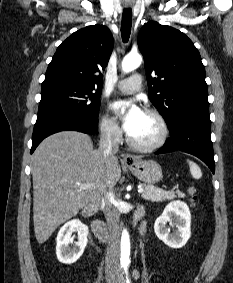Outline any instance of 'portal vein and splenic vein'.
<instances>
[{"mask_svg":"<svg viewBox=\"0 0 233 283\" xmlns=\"http://www.w3.org/2000/svg\"><path fill=\"white\" fill-rule=\"evenodd\" d=\"M78 185L81 189H92L93 188L92 184H78ZM143 192H144V189L139 187L138 193H143Z\"/></svg>","mask_w":233,"mask_h":283,"instance_id":"18ae733b","label":"portal vein and splenic vein"}]
</instances>
